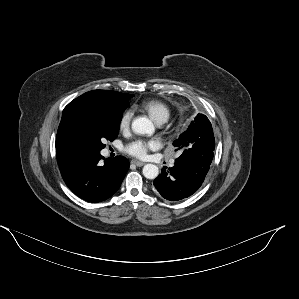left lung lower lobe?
<instances>
[{
	"label": "left lung lower lobe",
	"instance_id": "obj_1",
	"mask_svg": "<svg viewBox=\"0 0 299 299\" xmlns=\"http://www.w3.org/2000/svg\"><path fill=\"white\" fill-rule=\"evenodd\" d=\"M210 167L178 157L175 165L154 180L157 192L165 199L178 201L194 194L202 185Z\"/></svg>",
	"mask_w": 299,
	"mask_h": 299
}]
</instances>
